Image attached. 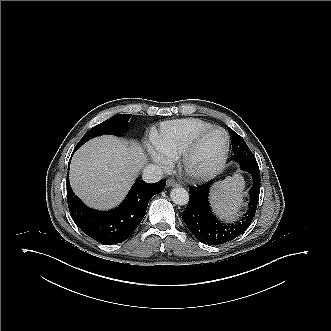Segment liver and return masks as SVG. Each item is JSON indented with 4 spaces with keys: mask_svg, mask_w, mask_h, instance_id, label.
I'll return each mask as SVG.
<instances>
[{
    "mask_svg": "<svg viewBox=\"0 0 331 331\" xmlns=\"http://www.w3.org/2000/svg\"><path fill=\"white\" fill-rule=\"evenodd\" d=\"M147 160L144 149L134 141L97 137L74 154L70 184L86 205L108 210L123 200Z\"/></svg>",
    "mask_w": 331,
    "mask_h": 331,
    "instance_id": "liver-1",
    "label": "liver"
}]
</instances>
